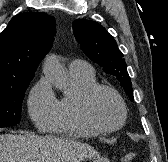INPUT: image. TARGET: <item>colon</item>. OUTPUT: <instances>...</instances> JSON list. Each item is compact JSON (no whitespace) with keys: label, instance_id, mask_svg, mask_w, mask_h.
Wrapping results in <instances>:
<instances>
[{"label":"colon","instance_id":"colon-1","mask_svg":"<svg viewBox=\"0 0 168 162\" xmlns=\"http://www.w3.org/2000/svg\"><path fill=\"white\" fill-rule=\"evenodd\" d=\"M135 154H127L122 158V162H135Z\"/></svg>","mask_w":168,"mask_h":162}]
</instances>
